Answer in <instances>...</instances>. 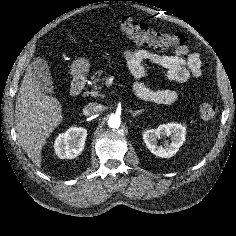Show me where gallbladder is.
<instances>
[{
    "mask_svg": "<svg viewBox=\"0 0 236 236\" xmlns=\"http://www.w3.org/2000/svg\"><path fill=\"white\" fill-rule=\"evenodd\" d=\"M32 73L43 93L54 94L53 82L47 62L42 58H36L31 64Z\"/></svg>",
    "mask_w": 236,
    "mask_h": 236,
    "instance_id": "1",
    "label": "gallbladder"
}]
</instances>
